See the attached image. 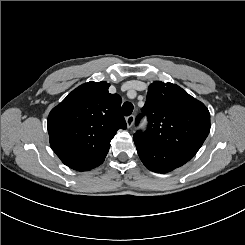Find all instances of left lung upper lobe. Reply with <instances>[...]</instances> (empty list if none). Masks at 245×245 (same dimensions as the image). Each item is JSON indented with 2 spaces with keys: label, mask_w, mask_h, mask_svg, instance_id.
<instances>
[{
  "label": "left lung upper lobe",
  "mask_w": 245,
  "mask_h": 245,
  "mask_svg": "<svg viewBox=\"0 0 245 245\" xmlns=\"http://www.w3.org/2000/svg\"><path fill=\"white\" fill-rule=\"evenodd\" d=\"M142 112L136 124L145 115L148 127L134 134L135 145L166 150L186 161L197 153L210 131L207 107L176 84L153 82Z\"/></svg>",
  "instance_id": "5c2ea615"
}]
</instances>
